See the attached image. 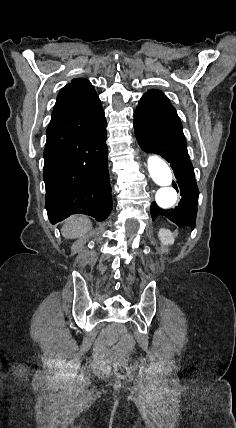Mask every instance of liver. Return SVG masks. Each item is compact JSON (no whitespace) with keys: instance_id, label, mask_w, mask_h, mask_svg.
I'll list each match as a JSON object with an SVG mask.
<instances>
[{"instance_id":"liver-1","label":"liver","mask_w":236,"mask_h":428,"mask_svg":"<svg viewBox=\"0 0 236 428\" xmlns=\"http://www.w3.org/2000/svg\"><path fill=\"white\" fill-rule=\"evenodd\" d=\"M89 228H91L90 220H86V218H77V216H71V218L66 220L61 230V234L63 238H69V240H72V238H81L83 234L88 232Z\"/></svg>"}]
</instances>
